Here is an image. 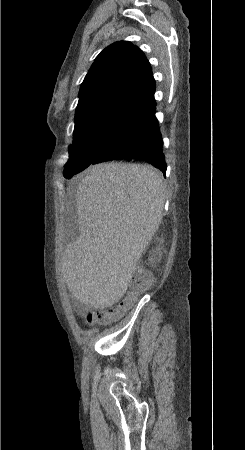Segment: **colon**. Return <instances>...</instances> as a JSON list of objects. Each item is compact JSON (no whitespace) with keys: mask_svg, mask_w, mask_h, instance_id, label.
<instances>
[{"mask_svg":"<svg viewBox=\"0 0 245 450\" xmlns=\"http://www.w3.org/2000/svg\"><path fill=\"white\" fill-rule=\"evenodd\" d=\"M147 288L148 284L145 275L140 271H136L128 284L127 294L119 302L117 307L102 311H95L92 314L90 323H107L119 318L122 312L130 308L136 297Z\"/></svg>","mask_w":245,"mask_h":450,"instance_id":"1","label":"colon"}]
</instances>
